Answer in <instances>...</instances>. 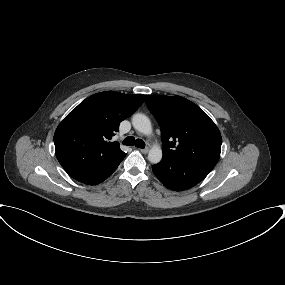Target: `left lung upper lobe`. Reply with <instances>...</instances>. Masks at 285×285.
Instances as JSON below:
<instances>
[{
	"label": "left lung upper lobe",
	"instance_id": "left-lung-upper-lobe-1",
	"mask_svg": "<svg viewBox=\"0 0 285 285\" xmlns=\"http://www.w3.org/2000/svg\"><path fill=\"white\" fill-rule=\"evenodd\" d=\"M162 132L163 156L211 171L220 158L221 134L210 117L181 96H146Z\"/></svg>",
	"mask_w": 285,
	"mask_h": 285
}]
</instances>
